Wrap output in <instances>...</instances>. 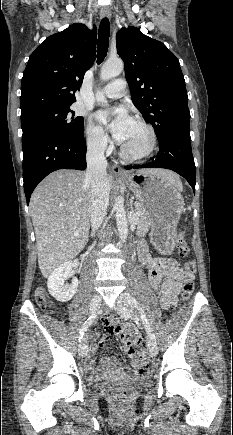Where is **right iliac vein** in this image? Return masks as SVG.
Here are the masks:
<instances>
[{
  "label": "right iliac vein",
  "instance_id": "63e3f726",
  "mask_svg": "<svg viewBox=\"0 0 233 435\" xmlns=\"http://www.w3.org/2000/svg\"><path fill=\"white\" fill-rule=\"evenodd\" d=\"M101 306V297L99 295H94L90 303V314L95 315ZM88 352V345L85 339H82L79 345V354L85 357Z\"/></svg>",
  "mask_w": 233,
  "mask_h": 435
}]
</instances>
